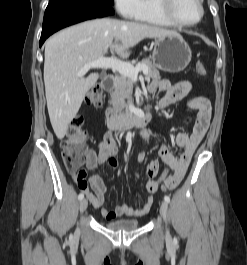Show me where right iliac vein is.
<instances>
[{"label":"right iliac vein","mask_w":247,"mask_h":265,"mask_svg":"<svg viewBox=\"0 0 247 265\" xmlns=\"http://www.w3.org/2000/svg\"><path fill=\"white\" fill-rule=\"evenodd\" d=\"M88 206V202L86 199H82L79 204L80 212H84Z\"/></svg>","instance_id":"1"}]
</instances>
